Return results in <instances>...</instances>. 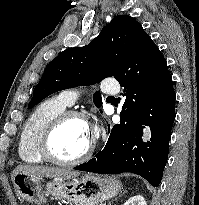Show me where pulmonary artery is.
Here are the masks:
<instances>
[{
  "mask_svg": "<svg viewBox=\"0 0 199 205\" xmlns=\"http://www.w3.org/2000/svg\"><path fill=\"white\" fill-rule=\"evenodd\" d=\"M102 90L106 94H115L118 92V86L116 84L113 86L103 85ZM79 94V89H66L61 93L60 98L66 105H72L79 97Z\"/></svg>",
  "mask_w": 199,
  "mask_h": 205,
  "instance_id": "1",
  "label": "pulmonary artery"
}]
</instances>
